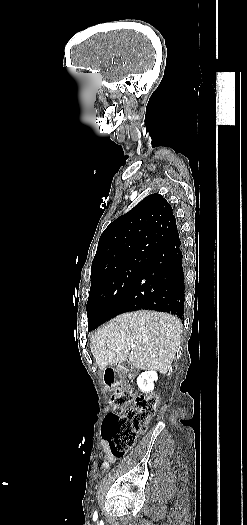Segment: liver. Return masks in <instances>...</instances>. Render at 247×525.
Segmentation results:
<instances>
[{"mask_svg": "<svg viewBox=\"0 0 247 525\" xmlns=\"http://www.w3.org/2000/svg\"><path fill=\"white\" fill-rule=\"evenodd\" d=\"M182 323L170 313H123L100 327L90 339L98 369L130 361L134 369L166 375L180 345Z\"/></svg>", "mask_w": 247, "mask_h": 525, "instance_id": "6515ba94", "label": "liver"}]
</instances>
